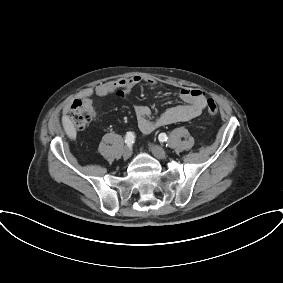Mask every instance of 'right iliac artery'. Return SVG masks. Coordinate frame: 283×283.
Returning <instances> with one entry per match:
<instances>
[{
	"instance_id": "1",
	"label": "right iliac artery",
	"mask_w": 283,
	"mask_h": 283,
	"mask_svg": "<svg viewBox=\"0 0 283 283\" xmlns=\"http://www.w3.org/2000/svg\"><path fill=\"white\" fill-rule=\"evenodd\" d=\"M134 140H135V135L133 132H127L126 134V138H125V143L128 145V146H131L133 143H134Z\"/></svg>"
}]
</instances>
